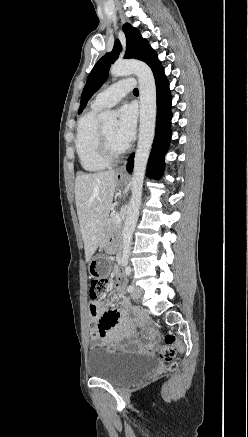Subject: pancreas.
I'll return each mask as SVG.
<instances>
[{"label": "pancreas", "mask_w": 248, "mask_h": 437, "mask_svg": "<svg viewBox=\"0 0 248 437\" xmlns=\"http://www.w3.org/2000/svg\"><path fill=\"white\" fill-rule=\"evenodd\" d=\"M113 218L114 216H111L110 218L107 219L106 230L108 233H113L117 229V225L112 222Z\"/></svg>", "instance_id": "pancreas-1"}]
</instances>
